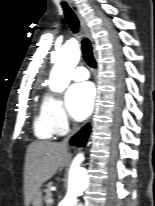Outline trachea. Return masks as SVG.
<instances>
[{
    "label": "trachea",
    "mask_w": 155,
    "mask_h": 206,
    "mask_svg": "<svg viewBox=\"0 0 155 206\" xmlns=\"http://www.w3.org/2000/svg\"><path fill=\"white\" fill-rule=\"evenodd\" d=\"M62 7L64 10L65 17L69 24L71 30L77 34L79 32V21L73 11L69 8V6L63 2ZM82 54L85 62L92 68L96 67V62L93 56L91 44L87 38H83L82 41Z\"/></svg>",
    "instance_id": "obj_1"
}]
</instances>
